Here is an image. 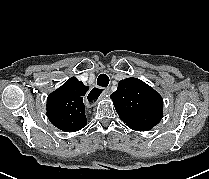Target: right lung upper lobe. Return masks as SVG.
<instances>
[{
    "label": "right lung upper lobe",
    "mask_w": 209,
    "mask_h": 179,
    "mask_svg": "<svg viewBox=\"0 0 209 179\" xmlns=\"http://www.w3.org/2000/svg\"><path fill=\"white\" fill-rule=\"evenodd\" d=\"M89 87L71 77L47 98V117L65 132H76L87 125L85 98ZM95 98V97H94Z\"/></svg>",
    "instance_id": "cb5924a9"
}]
</instances>
